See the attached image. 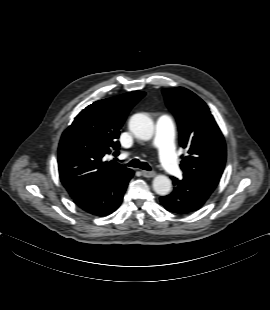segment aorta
Wrapping results in <instances>:
<instances>
[{"label": "aorta", "mask_w": 270, "mask_h": 310, "mask_svg": "<svg viewBox=\"0 0 270 310\" xmlns=\"http://www.w3.org/2000/svg\"><path fill=\"white\" fill-rule=\"evenodd\" d=\"M129 129L136 138L147 141L154 134V124L150 117L143 113L134 114L129 121ZM153 190L160 196L171 192V180L165 175H157L153 179Z\"/></svg>", "instance_id": "1"}]
</instances>
